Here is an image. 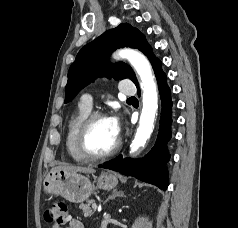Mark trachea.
<instances>
[{
	"mask_svg": "<svg viewBox=\"0 0 238 228\" xmlns=\"http://www.w3.org/2000/svg\"><path fill=\"white\" fill-rule=\"evenodd\" d=\"M134 99H136L135 97H130V98H128V100H134Z\"/></svg>",
	"mask_w": 238,
	"mask_h": 228,
	"instance_id": "3493384b",
	"label": "trachea"
}]
</instances>
